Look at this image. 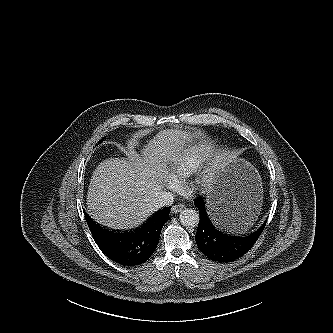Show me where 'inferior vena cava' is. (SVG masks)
I'll list each match as a JSON object with an SVG mask.
<instances>
[{
  "label": "inferior vena cava",
  "instance_id": "1",
  "mask_svg": "<svg viewBox=\"0 0 333 333\" xmlns=\"http://www.w3.org/2000/svg\"><path fill=\"white\" fill-rule=\"evenodd\" d=\"M174 201V195L171 192L161 191L154 199L153 203L156 209L165 206H171Z\"/></svg>",
  "mask_w": 333,
  "mask_h": 333
}]
</instances>
